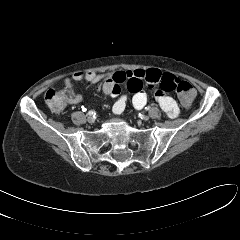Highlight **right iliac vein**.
<instances>
[{
	"label": "right iliac vein",
	"mask_w": 240,
	"mask_h": 240,
	"mask_svg": "<svg viewBox=\"0 0 240 240\" xmlns=\"http://www.w3.org/2000/svg\"><path fill=\"white\" fill-rule=\"evenodd\" d=\"M87 121H88L89 123H93L95 120H94V117H93L92 115H88Z\"/></svg>",
	"instance_id": "right-iliac-vein-1"
}]
</instances>
